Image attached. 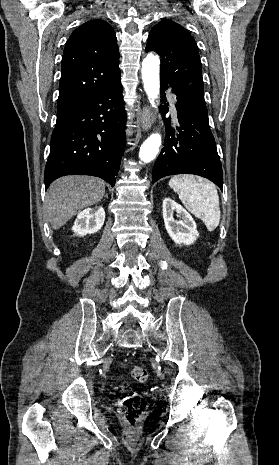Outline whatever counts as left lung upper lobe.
Segmentation results:
<instances>
[{
    "label": "left lung upper lobe",
    "instance_id": "obj_1",
    "mask_svg": "<svg viewBox=\"0 0 279 465\" xmlns=\"http://www.w3.org/2000/svg\"><path fill=\"white\" fill-rule=\"evenodd\" d=\"M161 57L160 80L165 81L185 102L208 116L198 47L181 25L163 20L149 34L146 52Z\"/></svg>",
    "mask_w": 279,
    "mask_h": 465
}]
</instances>
